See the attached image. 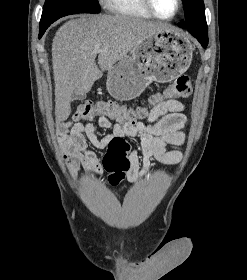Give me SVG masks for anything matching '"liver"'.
Listing matches in <instances>:
<instances>
[{
  "instance_id": "6515ba94",
  "label": "liver",
  "mask_w": 247,
  "mask_h": 280,
  "mask_svg": "<svg viewBox=\"0 0 247 280\" xmlns=\"http://www.w3.org/2000/svg\"><path fill=\"white\" fill-rule=\"evenodd\" d=\"M167 29L172 27L166 23L122 15H82L63 24L52 43L56 122L69 117L74 95L85 97L104 71L141 41Z\"/></svg>"
}]
</instances>
